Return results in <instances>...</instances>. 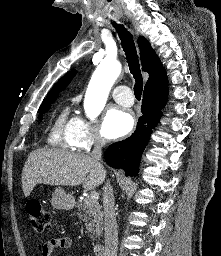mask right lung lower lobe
Instances as JSON below:
<instances>
[{
  "instance_id": "right-lung-lower-lobe-1",
  "label": "right lung lower lobe",
  "mask_w": 221,
  "mask_h": 256,
  "mask_svg": "<svg viewBox=\"0 0 221 256\" xmlns=\"http://www.w3.org/2000/svg\"><path fill=\"white\" fill-rule=\"evenodd\" d=\"M168 89L144 91L142 117L139 118L135 132L127 139L111 144L105 152V161L113 168H121L126 175L135 176L141 154L146 147L152 129L157 125L167 100Z\"/></svg>"
}]
</instances>
